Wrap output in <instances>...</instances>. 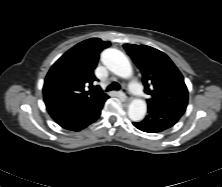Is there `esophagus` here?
Here are the masks:
<instances>
[{"label":"esophagus","mask_w":222,"mask_h":187,"mask_svg":"<svg viewBox=\"0 0 222 187\" xmlns=\"http://www.w3.org/2000/svg\"><path fill=\"white\" fill-rule=\"evenodd\" d=\"M122 98H123L126 102H129V101L131 100V97L128 95V91H127L126 88L123 89Z\"/></svg>","instance_id":"34e87169"}]
</instances>
